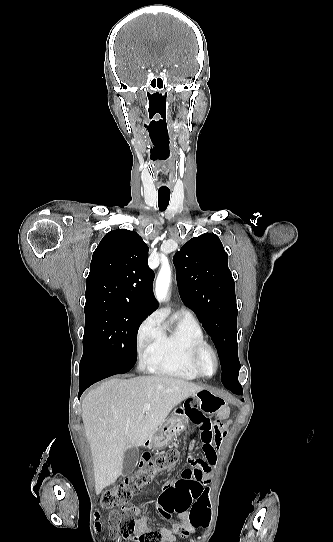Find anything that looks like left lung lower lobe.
<instances>
[{"label": "left lung lower lobe", "mask_w": 333, "mask_h": 542, "mask_svg": "<svg viewBox=\"0 0 333 542\" xmlns=\"http://www.w3.org/2000/svg\"><path fill=\"white\" fill-rule=\"evenodd\" d=\"M222 383L227 389L231 390L233 393L242 394V387L238 382V378H233L229 380L222 379Z\"/></svg>", "instance_id": "left-lung-lower-lobe-1"}]
</instances>
